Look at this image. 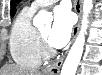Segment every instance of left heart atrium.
Masks as SVG:
<instances>
[{"label":"left heart atrium","instance_id":"1","mask_svg":"<svg viewBox=\"0 0 102 75\" xmlns=\"http://www.w3.org/2000/svg\"><path fill=\"white\" fill-rule=\"evenodd\" d=\"M74 25L72 13L63 5L54 10V21L49 33V43L54 48L64 47L70 40Z\"/></svg>","mask_w":102,"mask_h":75}]
</instances>
